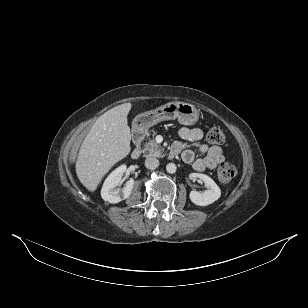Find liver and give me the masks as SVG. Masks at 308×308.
<instances>
[{
	"mask_svg": "<svg viewBox=\"0 0 308 308\" xmlns=\"http://www.w3.org/2000/svg\"><path fill=\"white\" fill-rule=\"evenodd\" d=\"M131 107V103H124L106 111L83 140L75 168L87 190L94 192L112 166L130 153L127 115Z\"/></svg>",
	"mask_w": 308,
	"mask_h": 308,
	"instance_id": "obj_1",
	"label": "liver"
}]
</instances>
